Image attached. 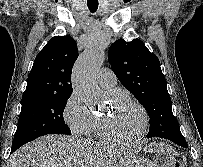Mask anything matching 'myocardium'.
Instances as JSON below:
<instances>
[{
	"label": "myocardium",
	"instance_id": "f54148a6",
	"mask_svg": "<svg viewBox=\"0 0 203 167\" xmlns=\"http://www.w3.org/2000/svg\"><path fill=\"white\" fill-rule=\"evenodd\" d=\"M108 95L113 100L123 99L129 102L130 104L134 105L142 115V126H141V129L138 131V133L132 138H122V137L116 136L110 130L107 118L104 116H101L99 117V123H100L102 136L111 142L119 143V144H130V143H135L139 141L145 135L149 124V116L145 107L140 102L132 98L130 95L120 90L111 91L108 93Z\"/></svg>",
	"mask_w": 203,
	"mask_h": 167
}]
</instances>
